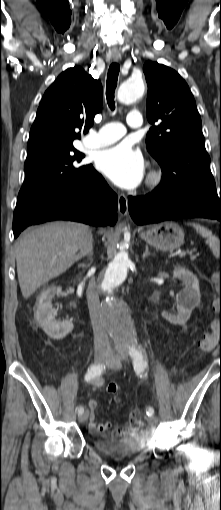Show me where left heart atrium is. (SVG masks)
<instances>
[{"label": "left heart atrium", "instance_id": "39dd6f15", "mask_svg": "<svg viewBox=\"0 0 221 510\" xmlns=\"http://www.w3.org/2000/svg\"><path fill=\"white\" fill-rule=\"evenodd\" d=\"M96 165L112 182L126 189L136 187L144 174L141 153L126 143L99 152Z\"/></svg>", "mask_w": 221, "mask_h": 510}]
</instances>
